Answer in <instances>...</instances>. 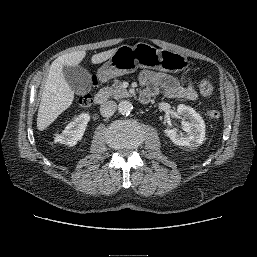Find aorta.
Masks as SVG:
<instances>
[{"label":"aorta","instance_id":"obj_1","mask_svg":"<svg viewBox=\"0 0 257 257\" xmlns=\"http://www.w3.org/2000/svg\"><path fill=\"white\" fill-rule=\"evenodd\" d=\"M133 105L130 101L123 100L118 105V111L122 115H129L132 112Z\"/></svg>","mask_w":257,"mask_h":257}]
</instances>
